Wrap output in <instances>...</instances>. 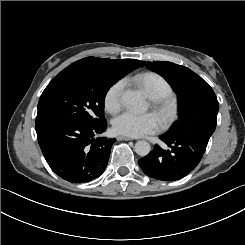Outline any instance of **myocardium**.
<instances>
[{"label":"myocardium","instance_id":"myocardium-1","mask_svg":"<svg viewBox=\"0 0 245 245\" xmlns=\"http://www.w3.org/2000/svg\"><path fill=\"white\" fill-rule=\"evenodd\" d=\"M154 105L157 113L165 125L170 124L177 116V101L171 95L155 98Z\"/></svg>","mask_w":245,"mask_h":245}]
</instances>
